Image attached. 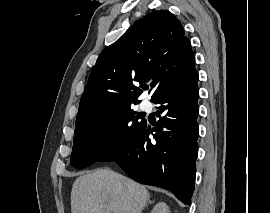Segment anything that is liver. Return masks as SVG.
Returning <instances> with one entry per match:
<instances>
[{
    "label": "liver",
    "instance_id": "obj_1",
    "mask_svg": "<svg viewBox=\"0 0 270 213\" xmlns=\"http://www.w3.org/2000/svg\"><path fill=\"white\" fill-rule=\"evenodd\" d=\"M147 189L110 169L79 176L71 191L72 213H141Z\"/></svg>",
    "mask_w": 270,
    "mask_h": 213
}]
</instances>
